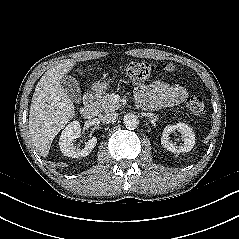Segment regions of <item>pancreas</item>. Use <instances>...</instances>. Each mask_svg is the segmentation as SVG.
<instances>
[{
    "label": "pancreas",
    "instance_id": "cf45deb5",
    "mask_svg": "<svg viewBox=\"0 0 239 239\" xmlns=\"http://www.w3.org/2000/svg\"><path fill=\"white\" fill-rule=\"evenodd\" d=\"M98 109L100 111L110 112L118 110L121 105L119 103L114 102V94L108 93L98 98L97 102Z\"/></svg>",
    "mask_w": 239,
    "mask_h": 239
}]
</instances>
